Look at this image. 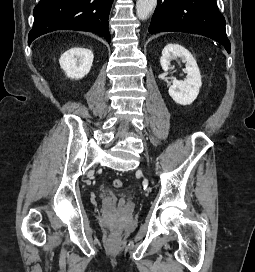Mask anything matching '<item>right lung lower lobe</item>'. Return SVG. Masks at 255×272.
Here are the masks:
<instances>
[{"mask_svg": "<svg viewBox=\"0 0 255 272\" xmlns=\"http://www.w3.org/2000/svg\"><path fill=\"white\" fill-rule=\"evenodd\" d=\"M113 0H40L33 11L34 26L28 44L55 30H79L97 33L108 43L109 12Z\"/></svg>", "mask_w": 255, "mask_h": 272, "instance_id": "right-lung-lower-lobe-1", "label": "right lung lower lobe"}]
</instances>
